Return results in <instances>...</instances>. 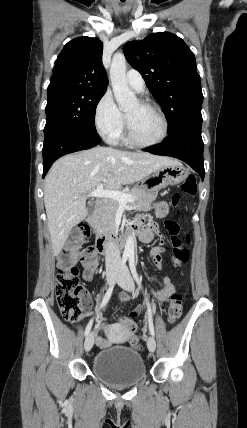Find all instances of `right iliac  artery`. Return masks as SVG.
<instances>
[{
	"label": "right iliac artery",
	"mask_w": 247,
	"mask_h": 428,
	"mask_svg": "<svg viewBox=\"0 0 247 428\" xmlns=\"http://www.w3.org/2000/svg\"><path fill=\"white\" fill-rule=\"evenodd\" d=\"M127 259H128V257L127 256H123L122 257V260H121V269L126 265V262H127ZM113 289H114V283L109 287V289L107 290V292H106V294H105V296H104V298H103V300H102V303H101V305H100V307H99V309L98 310H100L101 308H103L104 306H106L107 305V303H108V301H109V299H110V297H111V295H112V292H113ZM92 324H93V319H91L90 321H89V323L87 324V326H86V329H85V336H87L88 334H89V332H90V330H91V328H92Z\"/></svg>",
	"instance_id": "obj_1"
}]
</instances>
